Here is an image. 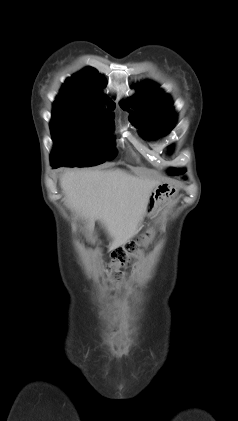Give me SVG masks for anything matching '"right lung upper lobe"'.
I'll list each match as a JSON object with an SVG mask.
<instances>
[{
    "label": "right lung upper lobe",
    "mask_w": 238,
    "mask_h": 421,
    "mask_svg": "<svg viewBox=\"0 0 238 421\" xmlns=\"http://www.w3.org/2000/svg\"><path fill=\"white\" fill-rule=\"evenodd\" d=\"M104 82L97 70L86 68L66 80L57 98L103 105L107 102V96L101 93Z\"/></svg>",
    "instance_id": "right-lung-upper-lobe-1"
}]
</instances>
